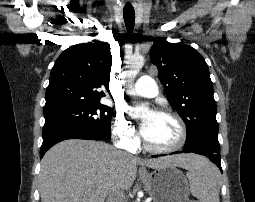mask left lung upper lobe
Instances as JSON below:
<instances>
[{
    "label": "left lung upper lobe",
    "mask_w": 255,
    "mask_h": 202,
    "mask_svg": "<svg viewBox=\"0 0 255 202\" xmlns=\"http://www.w3.org/2000/svg\"><path fill=\"white\" fill-rule=\"evenodd\" d=\"M171 106L187 126L185 149L220 148L213 84L204 58L191 46L157 38L150 51Z\"/></svg>",
    "instance_id": "1"
}]
</instances>
